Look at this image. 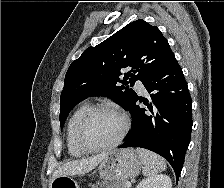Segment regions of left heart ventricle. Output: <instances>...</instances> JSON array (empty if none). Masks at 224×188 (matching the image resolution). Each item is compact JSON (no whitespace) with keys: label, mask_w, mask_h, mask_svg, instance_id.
Here are the masks:
<instances>
[{"label":"left heart ventricle","mask_w":224,"mask_h":188,"mask_svg":"<svg viewBox=\"0 0 224 188\" xmlns=\"http://www.w3.org/2000/svg\"><path fill=\"white\" fill-rule=\"evenodd\" d=\"M122 129V119L119 115L100 111L88 121L85 130V140L95 146L105 145L114 141Z\"/></svg>","instance_id":"left-heart-ventricle-1"}]
</instances>
